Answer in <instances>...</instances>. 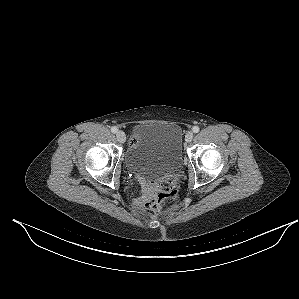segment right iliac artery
<instances>
[{"label": "right iliac artery", "mask_w": 299, "mask_h": 299, "mask_svg": "<svg viewBox=\"0 0 299 299\" xmlns=\"http://www.w3.org/2000/svg\"><path fill=\"white\" fill-rule=\"evenodd\" d=\"M117 131H118L117 127L113 126V127L111 128V132H112V133H116Z\"/></svg>", "instance_id": "obj_1"}]
</instances>
